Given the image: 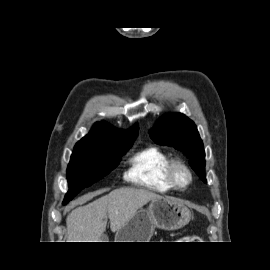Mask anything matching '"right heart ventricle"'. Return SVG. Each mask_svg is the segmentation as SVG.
<instances>
[{
	"instance_id": "1",
	"label": "right heart ventricle",
	"mask_w": 270,
	"mask_h": 270,
	"mask_svg": "<svg viewBox=\"0 0 270 270\" xmlns=\"http://www.w3.org/2000/svg\"><path fill=\"white\" fill-rule=\"evenodd\" d=\"M170 161V156L162 149L148 146L129 158L125 179L153 192H170L174 190L167 178V167Z\"/></svg>"
}]
</instances>
